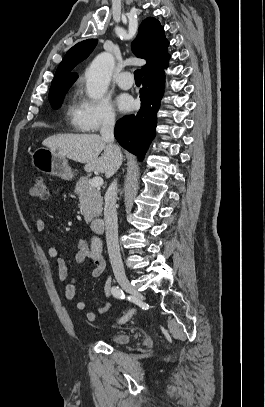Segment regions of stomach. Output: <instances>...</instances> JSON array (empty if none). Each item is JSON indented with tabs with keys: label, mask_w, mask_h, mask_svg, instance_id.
I'll return each mask as SVG.
<instances>
[{
	"label": "stomach",
	"mask_w": 265,
	"mask_h": 407,
	"mask_svg": "<svg viewBox=\"0 0 265 407\" xmlns=\"http://www.w3.org/2000/svg\"><path fill=\"white\" fill-rule=\"evenodd\" d=\"M32 165L39 171L60 177L64 180H71L74 172L68 165L66 157L59 155L47 147L37 148L31 156Z\"/></svg>",
	"instance_id": "obj_1"
}]
</instances>
